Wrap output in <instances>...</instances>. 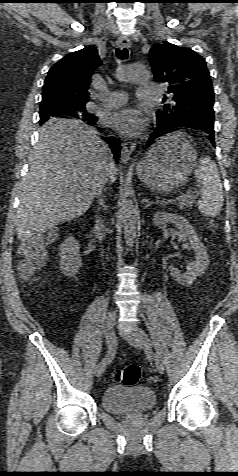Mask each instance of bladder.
I'll list each match as a JSON object with an SVG mask.
<instances>
[{"label":"bladder","mask_w":238,"mask_h":476,"mask_svg":"<svg viewBox=\"0 0 238 476\" xmlns=\"http://www.w3.org/2000/svg\"><path fill=\"white\" fill-rule=\"evenodd\" d=\"M101 404L112 414H138L154 408L156 395L146 386L113 385L102 393Z\"/></svg>","instance_id":"obj_1"}]
</instances>
